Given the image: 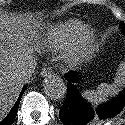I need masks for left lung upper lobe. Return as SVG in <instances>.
Returning a JSON list of instances; mask_svg holds the SVG:
<instances>
[{"label":"left lung upper lobe","mask_w":125,"mask_h":125,"mask_svg":"<svg viewBox=\"0 0 125 125\" xmlns=\"http://www.w3.org/2000/svg\"><path fill=\"white\" fill-rule=\"evenodd\" d=\"M120 28L125 33V24L123 22L120 23Z\"/></svg>","instance_id":"obj_1"}]
</instances>
